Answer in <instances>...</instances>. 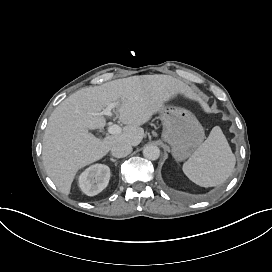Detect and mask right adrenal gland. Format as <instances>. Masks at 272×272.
<instances>
[{"mask_svg": "<svg viewBox=\"0 0 272 272\" xmlns=\"http://www.w3.org/2000/svg\"><path fill=\"white\" fill-rule=\"evenodd\" d=\"M110 161L113 162V163H117V162H118V159L110 158Z\"/></svg>", "mask_w": 272, "mask_h": 272, "instance_id": "1", "label": "right adrenal gland"}]
</instances>
